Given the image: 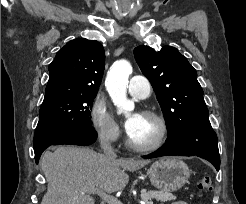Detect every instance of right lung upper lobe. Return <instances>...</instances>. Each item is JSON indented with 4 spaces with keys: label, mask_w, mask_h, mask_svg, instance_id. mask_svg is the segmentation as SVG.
Returning a JSON list of instances; mask_svg holds the SVG:
<instances>
[{
    "label": "right lung upper lobe",
    "mask_w": 246,
    "mask_h": 204,
    "mask_svg": "<svg viewBox=\"0 0 246 204\" xmlns=\"http://www.w3.org/2000/svg\"><path fill=\"white\" fill-rule=\"evenodd\" d=\"M105 64L103 46L84 38L68 42L49 65L44 101L68 94H97Z\"/></svg>",
    "instance_id": "right-lung-upper-lobe-1"
}]
</instances>
